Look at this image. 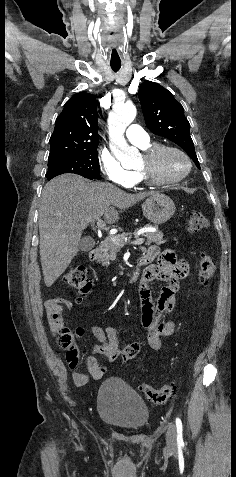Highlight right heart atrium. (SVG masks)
Wrapping results in <instances>:
<instances>
[{
    "instance_id": "d8ad5b80",
    "label": "right heart atrium",
    "mask_w": 236,
    "mask_h": 477,
    "mask_svg": "<svg viewBox=\"0 0 236 477\" xmlns=\"http://www.w3.org/2000/svg\"><path fill=\"white\" fill-rule=\"evenodd\" d=\"M98 163L100 171L110 183L122 187H130L133 184L131 171L125 169L109 151H100Z\"/></svg>"
}]
</instances>
